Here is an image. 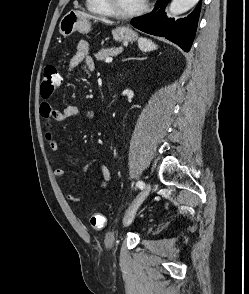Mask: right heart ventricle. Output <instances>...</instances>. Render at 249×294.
<instances>
[{"label":"right heart ventricle","instance_id":"right-heart-ventricle-1","mask_svg":"<svg viewBox=\"0 0 249 294\" xmlns=\"http://www.w3.org/2000/svg\"><path fill=\"white\" fill-rule=\"evenodd\" d=\"M86 7L88 11L97 15H101V16L111 15L110 11L105 6L103 0H86Z\"/></svg>","mask_w":249,"mask_h":294}]
</instances>
